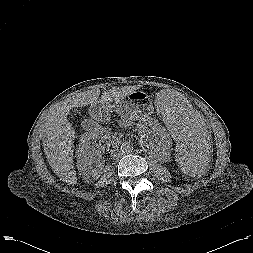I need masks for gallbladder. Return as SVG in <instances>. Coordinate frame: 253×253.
<instances>
[{"label":"gallbladder","instance_id":"obj_1","mask_svg":"<svg viewBox=\"0 0 253 253\" xmlns=\"http://www.w3.org/2000/svg\"><path fill=\"white\" fill-rule=\"evenodd\" d=\"M87 121V119H85L84 121H82V125Z\"/></svg>","mask_w":253,"mask_h":253}]
</instances>
